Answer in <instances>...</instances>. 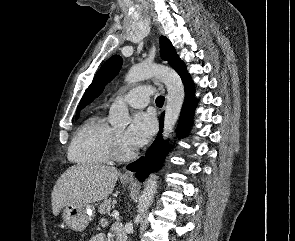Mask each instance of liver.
Segmentation results:
<instances>
[{"label":"liver","mask_w":295,"mask_h":241,"mask_svg":"<svg viewBox=\"0 0 295 241\" xmlns=\"http://www.w3.org/2000/svg\"><path fill=\"white\" fill-rule=\"evenodd\" d=\"M120 172L100 164H77L57 180L51 194L53 214L71 204H90L106 199L114 190Z\"/></svg>","instance_id":"1"}]
</instances>
